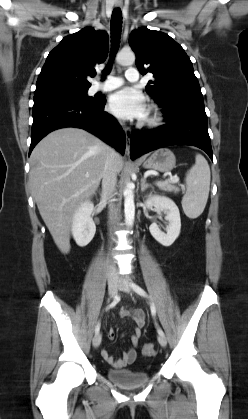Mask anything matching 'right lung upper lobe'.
<instances>
[{"label":"right lung upper lobe","mask_w":248,"mask_h":419,"mask_svg":"<svg viewBox=\"0 0 248 419\" xmlns=\"http://www.w3.org/2000/svg\"><path fill=\"white\" fill-rule=\"evenodd\" d=\"M109 50L104 31L84 28L64 37L48 55L39 74L35 94L68 89H88L87 76L95 75L94 66L103 63Z\"/></svg>","instance_id":"right-lung-upper-lobe-1"}]
</instances>
